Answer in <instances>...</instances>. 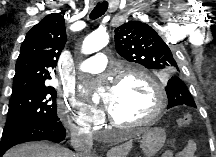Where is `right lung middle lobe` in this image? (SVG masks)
Returning a JSON list of instances; mask_svg holds the SVG:
<instances>
[{
    "label": "right lung middle lobe",
    "instance_id": "obj_1",
    "mask_svg": "<svg viewBox=\"0 0 216 157\" xmlns=\"http://www.w3.org/2000/svg\"><path fill=\"white\" fill-rule=\"evenodd\" d=\"M56 96V90L51 86L23 90L12 95L3 135L32 124L59 121Z\"/></svg>",
    "mask_w": 216,
    "mask_h": 157
}]
</instances>
